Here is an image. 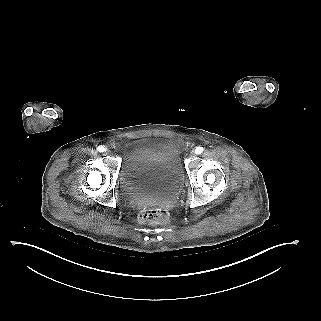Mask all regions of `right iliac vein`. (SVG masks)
<instances>
[{"mask_svg":"<svg viewBox=\"0 0 321 321\" xmlns=\"http://www.w3.org/2000/svg\"><path fill=\"white\" fill-rule=\"evenodd\" d=\"M110 154H111V152L108 149H106L105 150V155H110Z\"/></svg>","mask_w":321,"mask_h":321,"instance_id":"right-iliac-vein-1","label":"right iliac vein"}]
</instances>
